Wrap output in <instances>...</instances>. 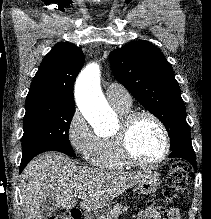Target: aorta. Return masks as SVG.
<instances>
[{
  "instance_id": "762f6f07",
  "label": "aorta",
  "mask_w": 211,
  "mask_h": 219,
  "mask_svg": "<svg viewBox=\"0 0 211 219\" xmlns=\"http://www.w3.org/2000/svg\"><path fill=\"white\" fill-rule=\"evenodd\" d=\"M75 98L79 110L96 133L101 132V124L105 125L113 119V111L100 88L98 64L91 63L80 73L75 85Z\"/></svg>"
}]
</instances>
